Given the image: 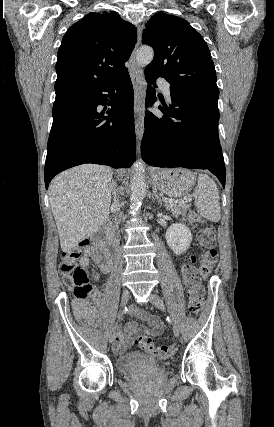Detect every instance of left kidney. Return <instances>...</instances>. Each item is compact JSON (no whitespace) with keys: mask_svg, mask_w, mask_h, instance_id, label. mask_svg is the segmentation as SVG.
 I'll return each instance as SVG.
<instances>
[{"mask_svg":"<svg viewBox=\"0 0 274 427\" xmlns=\"http://www.w3.org/2000/svg\"><path fill=\"white\" fill-rule=\"evenodd\" d=\"M165 237L169 247H171L176 255H180V253L186 251L192 241V233L184 223H172L168 227Z\"/></svg>","mask_w":274,"mask_h":427,"instance_id":"left-kidney-1","label":"left kidney"}]
</instances>
